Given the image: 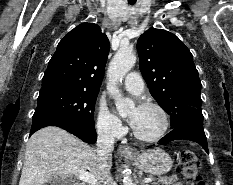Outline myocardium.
I'll return each instance as SVG.
<instances>
[{"label": "myocardium", "instance_id": "obj_1", "mask_svg": "<svg viewBox=\"0 0 233 185\" xmlns=\"http://www.w3.org/2000/svg\"><path fill=\"white\" fill-rule=\"evenodd\" d=\"M139 108H154V109H156L162 116L163 126H162L161 130L156 135L150 136V137L142 136V135L138 134L134 128H132V134H133L134 138L137 139L138 141H141L144 143H154V142L161 140L167 134V132L170 128V116H169L168 112L166 111V109L163 106H161L160 104H158L156 102H152V101L142 102L139 105Z\"/></svg>", "mask_w": 233, "mask_h": 185}]
</instances>
